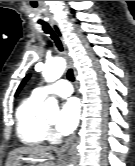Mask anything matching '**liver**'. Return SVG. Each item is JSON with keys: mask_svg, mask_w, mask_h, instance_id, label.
<instances>
[{"mask_svg": "<svg viewBox=\"0 0 135 166\" xmlns=\"http://www.w3.org/2000/svg\"><path fill=\"white\" fill-rule=\"evenodd\" d=\"M50 147L44 146H26L14 149L10 152L7 162H9L13 157H22V155H28L33 161L44 159L47 156V152L50 150Z\"/></svg>", "mask_w": 135, "mask_h": 166, "instance_id": "obj_1", "label": "liver"}]
</instances>
